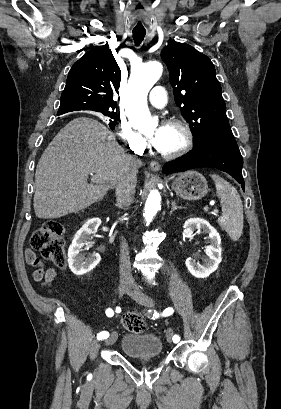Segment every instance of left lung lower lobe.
<instances>
[{"label":"left lung lower lobe","instance_id":"0a47b994","mask_svg":"<svg viewBox=\"0 0 281 409\" xmlns=\"http://www.w3.org/2000/svg\"><path fill=\"white\" fill-rule=\"evenodd\" d=\"M243 159L237 145L207 142L197 146L186 156L166 164V174L199 167H214L230 174L245 190L242 177Z\"/></svg>","mask_w":281,"mask_h":409}]
</instances>
